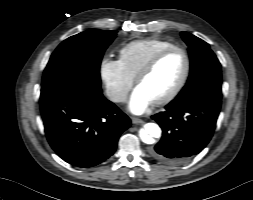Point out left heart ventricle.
<instances>
[{
	"mask_svg": "<svg viewBox=\"0 0 253 200\" xmlns=\"http://www.w3.org/2000/svg\"><path fill=\"white\" fill-rule=\"evenodd\" d=\"M185 70L184 56L174 52L165 57L155 70L138 85L153 102L168 95L179 83Z\"/></svg>",
	"mask_w": 253,
	"mask_h": 200,
	"instance_id": "obj_1",
	"label": "left heart ventricle"
}]
</instances>
